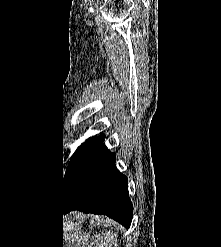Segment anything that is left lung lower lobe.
Segmentation results:
<instances>
[{"mask_svg": "<svg viewBox=\"0 0 221 247\" xmlns=\"http://www.w3.org/2000/svg\"><path fill=\"white\" fill-rule=\"evenodd\" d=\"M103 138L100 135L92 143L61 200L68 211L105 214L129 228L133 207L128 179L116 168V156L103 144Z\"/></svg>", "mask_w": 221, "mask_h": 247, "instance_id": "left-lung-lower-lobe-1", "label": "left lung lower lobe"}]
</instances>
